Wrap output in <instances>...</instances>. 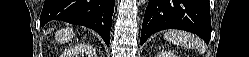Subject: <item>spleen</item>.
<instances>
[{
	"label": "spleen",
	"instance_id": "3e777b00",
	"mask_svg": "<svg viewBox=\"0 0 249 57\" xmlns=\"http://www.w3.org/2000/svg\"><path fill=\"white\" fill-rule=\"evenodd\" d=\"M164 39L185 47H196L200 50H203V43L199 38H196L194 35L180 31V30H169L164 34Z\"/></svg>",
	"mask_w": 249,
	"mask_h": 57
}]
</instances>
